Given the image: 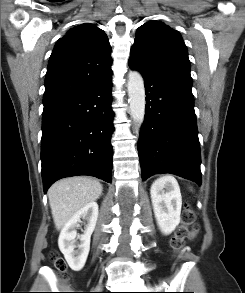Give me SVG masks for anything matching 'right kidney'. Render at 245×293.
<instances>
[{"mask_svg": "<svg viewBox=\"0 0 245 293\" xmlns=\"http://www.w3.org/2000/svg\"><path fill=\"white\" fill-rule=\"evenodd\" d=\"M98 218V204L90 202L76 212L62 228L58 246L63 253L68 265L74 271H80L87 260L90 250L91 235L95 229ZM86 221L85 230L82 235H77V228ZM76 238L79 239L77 243Z\"/></svg>", "mask_w": 245, "mask_h": 293, "instance_id": "1", "label": "right kidney"}]
</instances>
